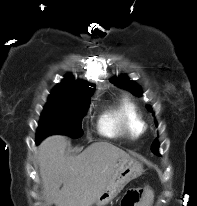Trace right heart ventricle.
<instances>
[{"label":"right heart ventricle","mask_w":197,"mask_h":206,"mask_svg":"<svg viewBox=\"0 0 197 206\" xmlns=\"http://www.w3.org/2000/svg\"><path fill=\"white\" fill-rule=\"evenodd\" d=\"M99 130L110 137L120 134L136 137L143 132L144 123L136 105L127 98H121L101 115Z\"/></svg>","instance_id":"obj_1"}]
</instances>
